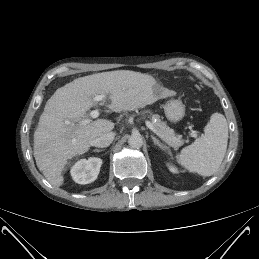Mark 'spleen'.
<instances>
[{
  "label": "spleen",
  "mask_w": 259,
  "mask_h": 259,
  "mask_svg": "<svg viewBox=\"0 0 259 259\" xmlns=\"http://www.w3.org/2000/svg\"><path fill=\"white\" fill-rule=\"evenodd\" d=\"M228 125L221 113H213L204 134L183 148L177 162L190 172L211 176L220 167L226 153Z\"/></svg>",
  "instance_id": "3e777b00"
}]
</instances>
